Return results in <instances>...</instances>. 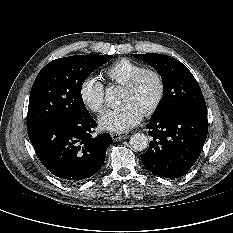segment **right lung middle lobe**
I'll use <instances>...</instances> for the list:
<instances>
[{
  "label": "right lung middle lobe",
  "instance_id": "obj_1",
  "mask_svg": "<svg viewBox=\"0 0 233 233\" xmlns=\"http://www.w3.org/2000/svg\"><path fill=\"white\" fill-rule=\"evenodd\" d=\"M112 58V55H76L53 60L42 68L30 92L27 130L72 121L89 113L81 87L93 71Z\"/></svg>",
  "mask_w": 233,
  "mask_h": 233
}]
</instances>
